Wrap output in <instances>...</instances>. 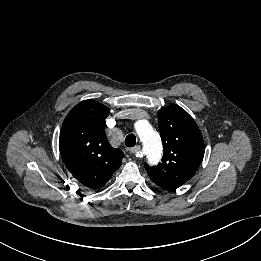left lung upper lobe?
Listing matches in <instances>:
<instances>
[{"instance_id":"left-lung-upper-lobe-1","label":"left lung upper lobe","mask_w":261,"mask_h":261,"mask_svg":"<svg viewBox=\"0 0 261 261\" xmlns=\"http://www.w3.org/2000/svg\"><path fill=\"white\" fill-rule=\"evenodd\" d=\"M158 119L162 162L155 167L145 164V168L154 183L173 190L194 176L204 156V141L192 117L178 105L160 109Z\"/></svg>"}]
</instances>
